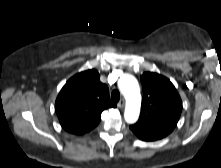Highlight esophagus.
Returning a JSON list of instances; mask_svg holds the SVG:
<instances>
[{
    "label": "esophagus",
    "instance_id": "34e87169",
    "mask_svg": "<svg viewBox=\"0 0 221 168\" xmlns=\"http://www.w3.org/2000/svg\"><path fill=\"white\" fill-rule=\"evenodd\" d=\"M125 105V100L122 98L119 102H118V107L119 108H123Z\"/></svg>",
    "mask_w": 221,
    "mask_h": 168
}]
</instances>
